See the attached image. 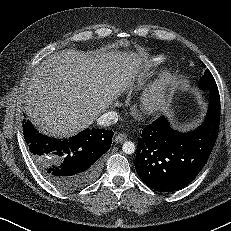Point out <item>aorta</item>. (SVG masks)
<instances>
[{"instance_id": "aorta-1", "label": "aorta", "mask_w": 231, "mask_h": 231, "mask_svg": "<svg viewBox=\"0 0 231 231\" xmlns=\"http://www.w3.org/2000/svg\"><path fill=\"white\" fill-rule=\"evenodd\" d=\"M122 150L125 154H133L135 152V145L131 141H126L122 145Z\"/></svg>"}]
</instances>
